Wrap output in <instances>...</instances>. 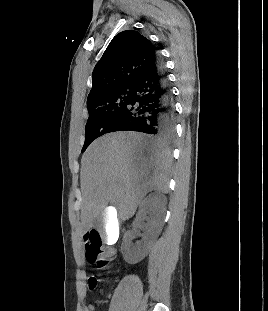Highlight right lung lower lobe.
<instances>
[{
    "label": "right lung lower lobe",
    "mask_w": 268,
    "mask_h": 311,
    "mask_svg": "<svg viewBox=\"0 0 268 311\" xmlns=\"http://www.w3.org/2000/svg\"><path fill=\"white\" fill-rule=\"evenodd\" d=\"M133 94L109 132L137 131L172 140L176 112L160 57L132 86ZM108 132V133H109Z\"/></svg>",
    "instance_id": "right-lung-lower-lobe-1"
}]
</instances>
